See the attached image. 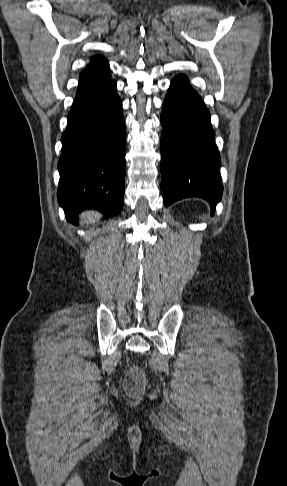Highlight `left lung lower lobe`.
Returning <instances> with one entry per match:
<instances>
[{"label": "left lung lower lobe", "mask_w": 287, "mask_h": 486, "mask_svg": "<svg viewBox=\"0 0 287 486\" xmlns=\"http://www.w3.org/2000/svg\"><path fill=\"white\" fill-rule=\"evenodd\" d=\"M161 191L165 206L186 197L221 200L220 156L210 113L186 75H177L163 103Z\"/></svg>", "instance_id": "0a47b994"}]
</instances>
